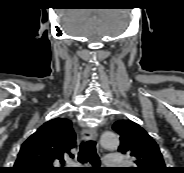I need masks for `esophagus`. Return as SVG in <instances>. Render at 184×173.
Wrapping results in <instances>:
<instances>
[{"label":"esophagus","mask_w":184,"mask_h":173,"mask_svg":"<svg viewBox=\"0 0 184 173\" xmlns=\"http://www.w3.org/2000/svg\"><path fill=\"white\" fill-rule=\"evenodd\" d=\"M82 137L86 140H96L97 139V130H96V128L83 129Z\"/></svg>","instance_id":"esophagus-1"}]
</instances>
